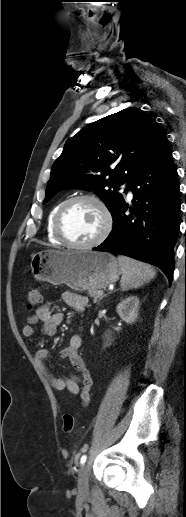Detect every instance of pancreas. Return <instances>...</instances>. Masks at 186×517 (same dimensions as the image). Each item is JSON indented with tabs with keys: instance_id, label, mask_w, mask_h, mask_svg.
I'll return each mask as SVG.
<instances>
[{
	"instance_id": "pancreas-1",
	"label": "pancreas",
	"mask_w": 186,
	"mask_h": 517,
	"mask_svg": "<svg viewBox=\"0 0 186 517\" xmlns=\"http://www.w3.org/2000/svg\"><path fill=\"white\" fill-rule=\"evenodd\" d=\"M88 295H89V297H92L94 299V302H97V301H99V300H101L103 298L102 295L98 294V290H96V289L95 290H89L88 291Z\"/></svg>"
}]
</instances>
